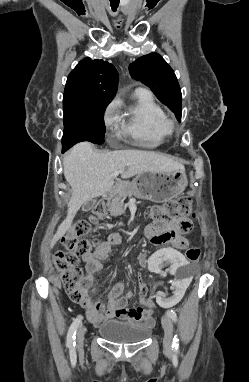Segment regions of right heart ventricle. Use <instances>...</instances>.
<instances>
[{"mask_svg":"<svg viewBox=\"0 0 249 382\" xmlns=\"http://www.w3.org/2000/svg\"><path fill=\"white\" fill-rule=\"evenodd\" d=\"M118 134L147 148L161 145L170 136L166 113L148 90L134 92L132 101L123 111Z\"/></svg>","mask_w":249,"mask_h":382,"instance_id":"e07e8e85","label":"right heart ventricle"}]
</instances>
